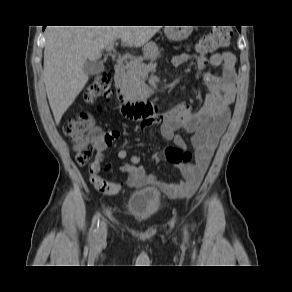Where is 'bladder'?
<instances>
[{
	"label": "bladder",
	"mask_w": 292,
	"mask_h": 292,
	"mask_svg": "<svg viewBox=\"0 0 292 292\" xmlns=\"http://www.w3.org/2000/svg\"><path fill=\"white\" fill-rule=\"evenodd\" d=\"M160 207V192L155 188L137 190L126 203L128 215L138 221L149 219L159 211Z\"/></svg>",
	"instance_id": "31cf9c89"
}]
</instances>
